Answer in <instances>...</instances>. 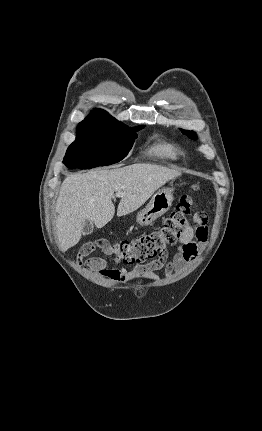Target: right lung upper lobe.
Returning <instances> with one entry per match:
<instances>
[{
	"instance_id": "1",
	"label": "right lung upper lobe",
	"mask_w": 262,
	"mask_h": 431,
	"mask_svg": "<svg viewBox=\"0 0 262 431\" xmlns=\"http://www.w3.org/2000/svg\"><path fill=\"white\" fill-rule=\"evenodd\" d=\"M117 121L111 117L107 112L101 109H94L79 125H99L108 124Z\"/></svg>"
}]
</instances>
